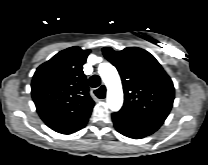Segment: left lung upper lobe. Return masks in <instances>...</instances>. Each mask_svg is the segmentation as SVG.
Here are the masks:
<instances>
[{
	"label": "left lung upper lobe",
	"mask_w": 208,
	"mask_h": 165,
	"mask_svg": "<svg viewBox=\"0 0 208 165\" xmlns=\"http://www.w3.org/2000/svg\"><path fill=\"white\" fill-rule=\"evenodd\" d=\"M103 54L118 70L124 89V105L119 112L163 123L174 101V86L158 61L147 51L128 47Z\"/></svg>",
	"instance_id": "5c2ea615"
}]
</instances>
